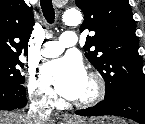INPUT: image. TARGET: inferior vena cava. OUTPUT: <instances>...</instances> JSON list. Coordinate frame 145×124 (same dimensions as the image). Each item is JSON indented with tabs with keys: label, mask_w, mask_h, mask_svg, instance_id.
<instances>
[{
	"label": "inferior vena cava",
	"mask_w": 145,
	"mask_h": 124,
	"mask_svg": "<svg viewBox=\"0 0 145 124\" xmlns=\"http://www.w3.org/2000/svg\"><path fill=\"white\" fill-rule=\"evenodd\" d=\"M37 108L28 112L26 117L27 124H45L49 118V113L45 111V104L41 101L35 103Z\"/></svg>",
	"instance_id": "1"
}]
</instances>
